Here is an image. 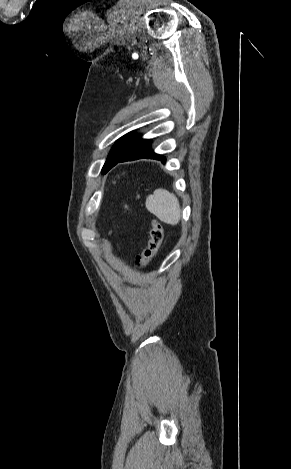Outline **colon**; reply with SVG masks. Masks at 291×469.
I'll list each match as a JSON object with an SVG mask.
<instances>
[{
    "label": "colon",
    "mask_w": 291,
    "mask_h": 469,
    "mask_svg": "<svg viewBox=\"0 0 291 469\" xmlns=\"http://www.w3.org/2000/svg\"><path fill=\"white\" fill-rule=\"evenodd\" d=\"M163 240L164 230L162 225L157 221H153L148 246L141 255L137 256L135 261L138 268H145L150 263L161 248Z\"/></svg>",
    "instance_id": "1"
}]
</instances>
